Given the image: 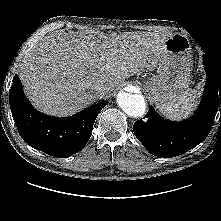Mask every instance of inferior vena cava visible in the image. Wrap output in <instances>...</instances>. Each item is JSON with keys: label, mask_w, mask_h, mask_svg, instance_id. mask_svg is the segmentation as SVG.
I'll return each mask as SVG.
<instances>
[{"label": "inferior vena cava", "mask_w": 221, "mask_h": 221, "mask_svg": "<svg viewBox=\"0 0 221 221\" xmlns=\"http://www.w3.org/2000/svg\"><path fill=\"white\" fill-rule=\"evenodd\" d=\"M93 91L97 97H100L102 95H105L108 92V87L105 84L101 83V84L95 85L93 88Z\"/></svg>", "instance_id": "1"}]
</instances>
